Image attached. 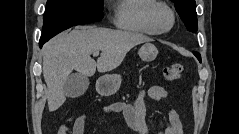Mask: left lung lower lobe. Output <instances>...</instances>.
<instances>
[{
  "instance_id": "left-lung-lower-lobe-1",
  "label": "left lung lower lobe",
  "mask_w": 239,
  "mask_h": 134,
  "mask_svg": "<svg viewBox=\"0 0 239 134\" xmlns=\"http://www.w3.org/2000/svg\"><path fill=\"white\" fill-rule=\"evenodd\" d=\"M194 54H195V56H196L198 59L201 58V57H200V54H198V53H196V52H194Z\"/></svg>"
}]
</instances>
